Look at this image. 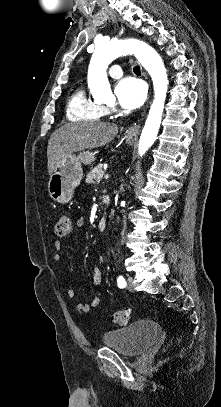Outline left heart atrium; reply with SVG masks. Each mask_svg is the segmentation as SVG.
<instances>
[{
  "label": "left heart atrium",
  "mask_w": 221,
  "mask_h": 407,
  "mask_svg": "<svg viewBox=\"0 0 221 407\" xmlns=\"http://www.w3.org/2000/svg\"><path fill=\"white\" fill-rule=\"evenodd\" d=\"M115 94L123 108L134 110L144 102L146 86L141 79L129 76L116 84Z\"/></svg>",
  "instance_id": "39dd6f15"
}]
</instances>
